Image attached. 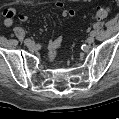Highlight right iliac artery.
<instances>
[{"label":"right iliac artery","mask_w":119,"mask_h":119,"mask_svg":"<svg viewBox=\"0 0 119 119\" xmlns=\"http://www.w3.org/2000/svg\"><path fill=\"white\" fill-rule=\"evenodd\" d=\"M31 39H25V41H24V43H27V42H29Z\"/></svg>","instance_id":"right-iliac-artery-1"}]
</instances>
